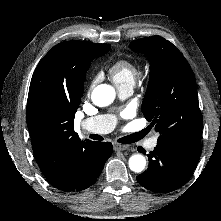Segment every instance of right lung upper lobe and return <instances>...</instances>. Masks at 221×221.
<instances>
[{
  "label": "right lung upper lobe",
  "mask_w": 221,
  "mask_h": 221,
  "mask_svg": "<svg viewBox=\"0 0 221 221\" xmlns=\"http://www.w3.org/2000/svg\"><path fill=\"white\" fill-rule=\"evenodd\" d=\"M96 45L85 41L57 44L39 62L31 79L26 119L32 149L55 187L69 181L78 151L92 143L82 141L73 126L87 72L79 59Z\"/></svg>",
  "instance_id": "right-lung-upper-lobe-1"
}]
</instances>
